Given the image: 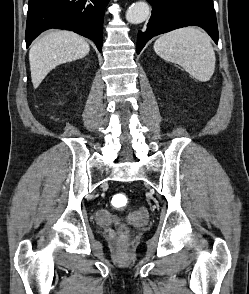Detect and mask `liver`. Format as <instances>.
I'll list each match as a JSON object with an SVG mask.
<instances>
[{
    "instance_id": "1",
    "label": "liver",
    "mask_w": 249,
    "mask_h": 294,
    "mask_svg": "<svg viewBox=\"0 0 249 294\" xmlns=\"http://www.w3.org/2000/svg\"><path fill=\"white\" fill-rule=\"evenodd\" d=\"M89 44L71 31H50L37 39L30 51L29 62L33 87L36 89L56 66L85 57Z\"/></svg>"
}]
</instances>
